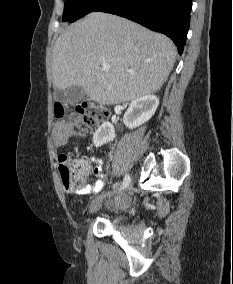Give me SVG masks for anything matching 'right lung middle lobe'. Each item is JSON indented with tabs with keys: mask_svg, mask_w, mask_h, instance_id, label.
Instances as JSON below:
<instances>
[{
	"mask_svg": "<svg viewBox=\"0 0 233 284\" xmlns=\"http://www.w3.org/2000/svg\"><path fill=\"white\" fill-rule=\"evenodd\" d=\"M107 0H65L62 21L74 22L93 12Z\"/></svg>",
	"mask_w": 233,
	"mask_h": 284,
	"instance_id": "obj_1",
	"label": "right lung middle lobe"
}]
</instances>
